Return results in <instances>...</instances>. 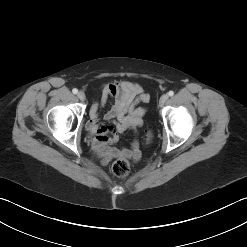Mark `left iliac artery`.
Segmentation results:
<instances>
[{
	"label": "left iliac artery",
	"mask_w": 247,
	"mask_h": 247,
	"mask_svg": "<svg viewBox=\"0 0 247 247\" xmlns=\"http://www.w3.org/2000/svg\"><path fill=\"white\" fill-rule=\"evenodd\" d=\"M168 95H169V96H173V95H174V92H173V91H169V92H168Z\"/></svg>",
	"instance_id": "44dca946"
}]
</instances>
